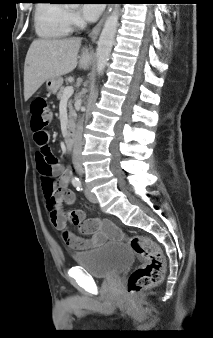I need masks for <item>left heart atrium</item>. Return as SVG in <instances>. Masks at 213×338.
<instances>
[{
  "mask_svg": "<svg viewBox=\"0 0 213 338\" xmlns=\"http://www.w3.org/2000/svg\"><path fill=\"white\" fill-rule=\"evenodd\" d=\"M82 13L85 19L93 21L98 18L101 13V5L96 4H82Z\"/></svg>",
  "mask_w": 213,
  "mask_h": 338,
  "instance_id": "left-heart-atrium-1",
  "label": "left heart atrium"
}]
</instances>
